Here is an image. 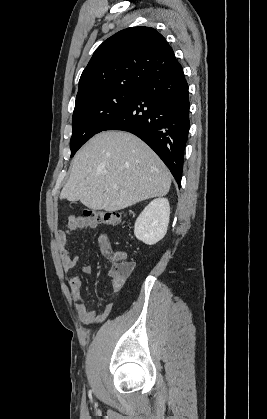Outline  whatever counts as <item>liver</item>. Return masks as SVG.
<instances>
[{"label":"liver","mask_w":267,"mask_h":419,"mask_svg":"<svg viewBox=\"0 0 267 419\" xmlns=\"http://www.w3.org/2000/svg\"><path fill=\"white\" fill-rule=\"evenodd\" d=\"M170 185L168 168L147 144L128 132L106 131L76 154L60 199L117 211L165 196Z\"/></svg>","instance_id":"obj_1"}]
</instances>
